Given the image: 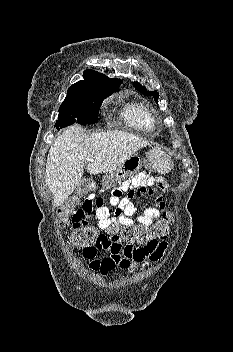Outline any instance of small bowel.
Returning <instances> with one entry per match:
<instances>
[{
	"instance_id": "c3829d8e",
	"label": "small bowel",
	"mask_w": 233,
	"mask_h": 352,
	"mask_svg": "<svg viewBox=\"0 0 233 352\" xmlns=\"http://www.w3.org/2000/svg\"><path fill=\"white\" fill-rule=\"evenodd\" d=\"M166 188V182L163 178H156L144 171L138 172L124 181L120 187L112 190L109 202L114 209L111 210L104 204L102 198L91 193L94 190V184L91 181H86L82 187L85 199L81 208L72 217L73 228L76 230L92 220H96L98 227L106 233L131 226L150 227L157 221L165 208ZM124 193L125 196H123ZM142 195L151 198L153 205L145 208L135 222L132 216L135 214L136 208L131 199ZM166 246L163 241L142 246L127 244L122 246L118 235H109L104 242L94 247L85 248L83 257L89 261L90 269L105 276L114 269L130 271L149 261H157L163 255ZM102 250L107 251L109 255L100 258L98 253Z\"/></svg>"
}]
</instances>
